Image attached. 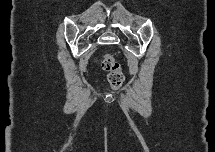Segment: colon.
Wrapping results in <instances>:
<instances>
[{"instance_id":"5ec220e1","label":"colon","mask_w":215,"mask_h":152,"mask_svg":"<svg viewBox=\"0 0 215 152\" xmlns=\"http://www.w3.org/2000/svg\"><path fill=\"white\" fill-rule=\"evenodd\" d=\"M99 64L103 70L108 72L107 80L110 88L113 90H118L123 85L125 80V76L120 65L110 54H104L100 58Z\"/></svg>"}]
</instances>
